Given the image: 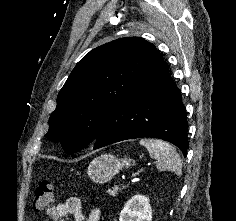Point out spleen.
<instances>
[{
  "mask_svg": "<svg viewBox=\"0 0 236 221\" xmlns=\"http://www.w3.org/2000/svg\"><path fill=\"white\" fill-rule=\"evenodd\" d=\"M140 145L145 146L149 156L156 160V167L160 171H172L177 176L182 173V162L176 149L168 142L159 139H141Z\"/></svg>",
  "mask_w": 236,
  "mask_h": 221,
  "instance_id": "obj_1",
  "label": "spleen"
}]
</instances>
